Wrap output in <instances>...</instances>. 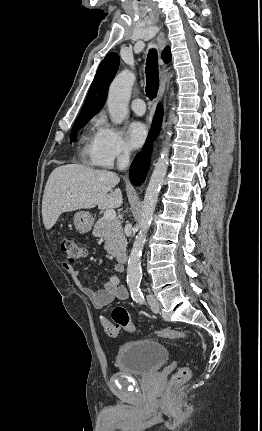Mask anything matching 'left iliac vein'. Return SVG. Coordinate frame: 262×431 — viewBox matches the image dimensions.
<instances>
[{
    "mask_svg": "<svg viewBox=\"0 0 262 431\" xmlns=\"http://www.w3.org/2000/svg\"><path fill=\"white\" fill-rule=\"evenodd\" d=\"M147 300H148V304H149L151 310L154 313H159V311H160V305H159L158 300L153 295H149L147 297Z\"/></svg>",
    "mask_w": 262,
    "mask_h": 431,
    "instance_id": "4c4485c4",
    "label": "left iliac vein"
}]
</instances>
